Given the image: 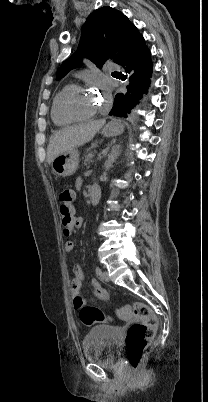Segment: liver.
Wrapping results in <instances>:
<instances>
[{
  "instance_id": "6515ba94",
  "label": "liver",
  "mask_w": 208,
  "mask_h": 402,
  "mask_svg": "<svg viewBox=\"0 0 208 402\" xmlns=\"http://www.w3.org/2000/svg\"><path fill=\"white\" fill-rule=\"evenodd\" d=\"M105 122L106 120L103 118V120H94V122L79 124V126H69V128H63V130L55 132L54 136L49 140L47 148L48 164H51L52 160L59 154L90 142L100 128L104 126Z\"/></svg>"
}]
</instances>
